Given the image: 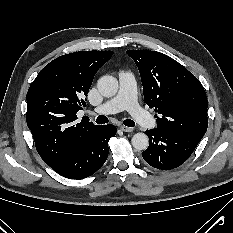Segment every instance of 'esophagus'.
Here are the masks:
<instances>
[{"label": "esophagus", "mask_w": 233, "mask_h": 233, "mask_svg": "<svg viewBox=\"0 0 233 233\" xmlns=\"http://www.w3.org/2000/svg\"><path fill=\"white\" fill-rule=\"evenodd\" d=\"M120 129L124 132H132L133 128L127 126H121Z\"/></svg>", "instance_id": "obj_1"}]
</instances>
